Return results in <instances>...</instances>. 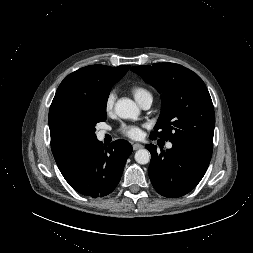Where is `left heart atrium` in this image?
I'll list each match as a JSON object with an SVG mask.
<instances>
[{"label": "left heart atrium", "mask_w": 253, "mask_h": 253, "mask_svg": "<svg viewBox=\"0 0 253 253\" xmlns=\"http://www.w3.org/2000/svg\"><path fill=\"white\" fill-rule=\"evenodd\" d=\"M121 133L131 139H139L142 135V129L135 125H125L122 126Z\"/></svg>", "instance_id": "left-heart-atrium-1"}]
</instances>
